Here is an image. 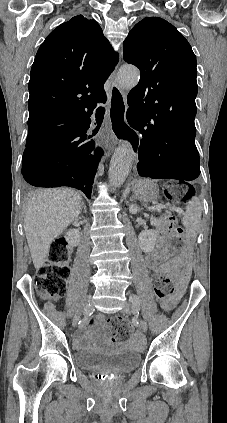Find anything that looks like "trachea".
<instances>
[{
  "label": "trachea",
  "mask_w": 227,
  "mask_h": 423,
  "mask_svg": "<svg viewBox=\"0 0 227 423\" xmlns=\"http://www.w3.org/2000/svg\"><path fill=\"white\" fill-rule=\"evenodd\" d=\"M104 113H105V108L104 107L97 108L96 115H99L101 117H104Z\"/></svg>",
  "instance_id": "1"
}]
</instances>
